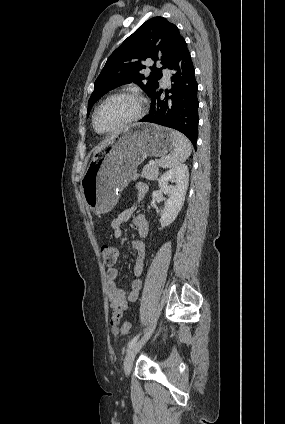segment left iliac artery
Instances as JSON below:
<instances>
[{
  "instance_id": "left-iliac-artery-1",
  "label": "left iliac artery",
  "mask_w": 285,
  "mask_h": 424,
  "mask_svg": "<svg viewBox=\"0 0 285 424\" xmlns=\"http://www.w3.org/2000/svg\"><path fill=\"white\" fill-rule=\"evenodd\" d=\"M141 332L139 334H137L129 343H128V349L131 348L138 340V338L140 337Z\"/></svg>"
}]
</instances>
